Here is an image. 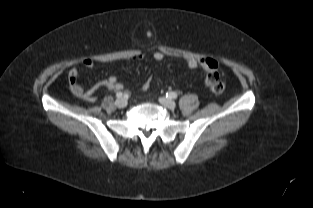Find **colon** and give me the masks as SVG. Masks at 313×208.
<instances>
[{
  "label": "colon",
  "mask_w": 313,
  "mask_h": 208,
  "mask_svg": "<svg viewBox=\"0 0 313 208\" xmlns=\"http://www.w3.org/2000/svg\"><path fill=\"white\" fill-rule=\"evenodd\" d=\"M206 87L209 91L213 93H221L225 89V83L220 80L219 72L217 68L210 69L207 72L205 79ZM150 85V81L148 80L144 84V88L147 89Z\"/></svg>",
  "instance_id": "5ec220e1"
}]
</instances>
